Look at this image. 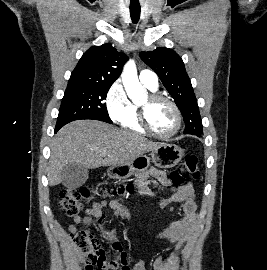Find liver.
Instances as JSON below:
<instances>
[{"instance_id": "obj_1", "label": "liver", "mask_w": 267, "mask_h": 270, "mask_svg": "<svg viewBox=\"0 0 267 270\" xmlns=\"http://www.w3.org/2000/svg\"><path fill=\"white\" fill-rule=\"evenodd\" d=\"M162 144L101 121H74L61 128L52 141L49 185L62 182V170L68 163L87 169L115 166L131 162Z\"/></svg>"}]
</instances>
